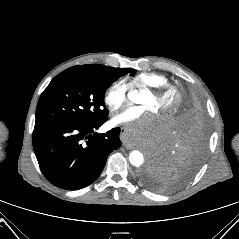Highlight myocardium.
I'll return each mask as SVG.
<instances>
[{"label":"myocardium","mask_w":239,"mask_h":239,"mask_svg":"<svg viewBox=\"0 0 239 239\" xmlns=\"http://www.w3.org/2000/svg\"><path fill=\"white\" fill-rule=\"evenodd\" d=\"M147 92L152 94L157 99L169 98V106L163 110L162 114L165 116L174 115L180 108L183 96L180 90L173 85H164L159 87H150L146 89Z\"/></svg>","instance_id":"f54148a6"}]
</instances>
